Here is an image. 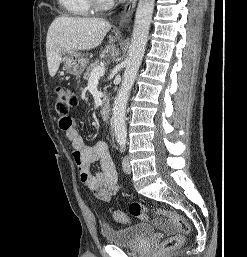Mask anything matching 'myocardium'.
Returning <instances> with one entry per match:
<instances>
[{"label": "myocardium", "instance_id": "myocardium-1", "mask_svg": "<svg viewBox=\"0 0 247 257\" xmlns=\"http://www.w3.org/2000/svg\"><path fill=\"white\" fill-rule=\"evenodd\" d=\"M92 7L95 10H107L112 6L111 0H90Z\"/></svg>", "mask_w": 247, "mask_h": 257}]
</instances>
